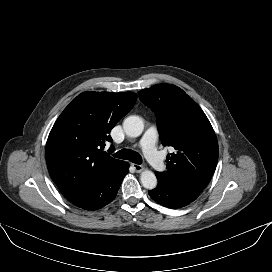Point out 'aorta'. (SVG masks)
<instances>
[{"label": "aorta", "mask_w": 272, "mask_h": 272, "mask_svg": "<svg viewBox=\"0 0 272 272\" xmlns=\"http://www.w3.org/2000/svg\"><path fill=\"white\" fill-rule=\"evenodd\" d=\"M123 128L127 136L138 137L143 132L144 122L138 116H129L124 120ZM140 180L146 189L152 190L157 186V178L150 170H144L141 173Z\"/></svg>", "instance_id": "762f6f07"}]
</instances>
